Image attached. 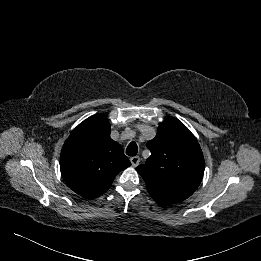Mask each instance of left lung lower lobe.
<instances>
[{"instance_id": "left-lung-lower-lobe-1", "label": "left lung lower lobe", "mask_w": 261, "mask_h": 261, "mask_svg": "<svg viewBox=\"0 0 261 261\" xmlns=\"http://www.w3.org/2000/svg\"><path fill=\"white\" fill-rule=\"evenodd\" d=\"M151 197L160 205H171L184 201L186 198L177 195L150 193Z\"/></svg>"}]
</instances>
